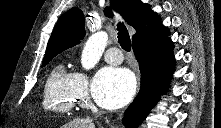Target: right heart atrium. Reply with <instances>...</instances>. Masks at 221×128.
Segmentation results:
<instances>
[{"mask_svg": "<svg viewBox=\"0 0 221 128\" xmlns=\"http://www.w3.org/2000/svg\"><path fill=\"white\" fill-rule=\"evenodd\" d=\"M73 88L78 99L88 103V79L83 72H73Z\"/></svg>", "mask_w": 221, "mask_h": 128, "instance_id": "d8ad5b80", "label": "right heart atrium"}]
</instances>
